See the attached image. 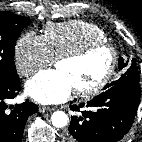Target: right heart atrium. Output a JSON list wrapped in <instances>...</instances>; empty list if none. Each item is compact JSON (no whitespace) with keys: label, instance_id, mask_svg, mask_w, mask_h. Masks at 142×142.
Returning a JSON list of instances; mask_svg holds the SVG:
<instances>
[{"label":"right heart atrium","instance_id":"obj_1","mask_svg":"<svg viewBox=\"0 0 142 142\" xmlns=\"http://www.w3.org/2000/svg\"><path fill=\"white\" fill-rule=\"evenodd\" d=\"M14 60L17 71L23 76H29L54 61L43 37L32 31L26 32L16 41Z\"/></svg>","mask_w":142,"mask_h":142}]
</instances>
